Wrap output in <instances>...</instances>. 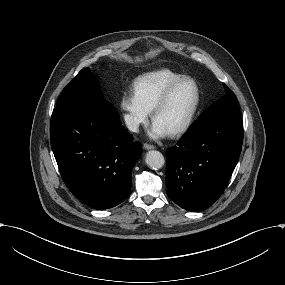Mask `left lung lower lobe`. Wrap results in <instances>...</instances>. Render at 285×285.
Returning a JSON list of instances; mask_svg holds the SVG:
<instances>
[{"mask_svg":"<svg viewBox=\"0 0 285 285\" xmlns=\"http://www.w3.org/2000/svg\"><path fill=\"white\" fill-rule=\"evenodd\" d=\"M243 142L239 107L212 112L196 121L167 151L168 196L188 211H202L224 192Z\"/></svg>","mask_w":285,"mask_h":285,"instance_id":"0a47b994","label":"left lung lower lobe"}]
</instances>
